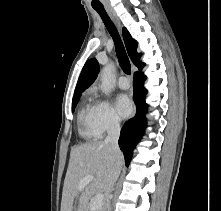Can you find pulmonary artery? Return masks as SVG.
Wrapping results in <instances>:
<instances>
[{
	"label": "pulmonary artery",
	"mask_w": 221,
	"mask_h": 211,
	"mask_svg": "<svg viewBox=\"0 0 221 211\" xmlns=\"http://www.w3.org/2000/svg\"><path fill=\"white\" fill-rule=\"evenodd\" d=\"M117 84H118L119 88L124 89V90H126L130 87V83L125 76L119 77Z\"/></svg>",
	"instance_id": "obj_1"
}]
</instances>
